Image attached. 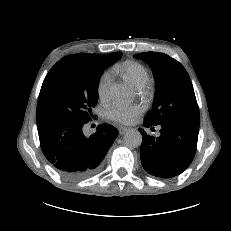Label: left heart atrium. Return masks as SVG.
<instances>
[{"mask_svg":"<svg viewBox=\"0 0 231 231\" xmlns=\"http://www.w3.org/2000/svg\"><path fill=\"white\" fill-rule=\"evenodd\" d=\"M141 113V107L138 105H125L115 103L108 111L109 117L121 124L131 123L135 117Z\"/></svg>","mask_w":231,"mask_h":231,"instance_id":"obj_1","label":"left heart atrium"}]
</instances>
